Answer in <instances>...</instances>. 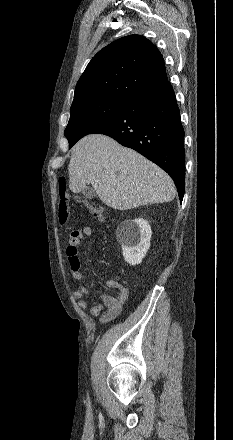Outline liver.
Returning a JSON list of instances; mask_svg holds the SVG:
<instances>
[{
    "label": "liver",
    "mask_w": 233,
    "mask_h": 440,
    "mask_svg": "<svg viewBox=\"0 0 233 440\" xmlns=\"http://www.w3.org/2000/svg\"><path fill=\"white\" fill-rule=\"evenodd\" d=\"M69 188L79 193L92 184L100 200L117 210L172 201L171 177L136 151L102 134L79 140L69 163Z\"/></svg>",
    "instance_id": "1"
}]
</instances>
